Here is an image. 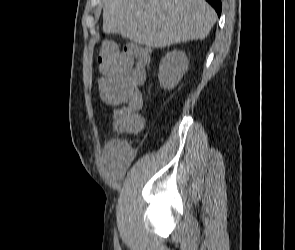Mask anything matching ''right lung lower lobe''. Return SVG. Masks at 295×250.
<instances>
[{
  "label": "right lung lower lobe",
  "mask_w": 295,
  "mask_h": 250,
  "mask_svg": "<svg viewBox=\"0 0 295 250\" xmlns=\"http://www.w3.org/2000/svg\"><path fill=\"white\" fill-rule=\"evenodd\" d=\"M217 12L218 16L221 14V0H206Z\"/></svg>",
  "instance_id": "98d812e1"
}]
</instances>
